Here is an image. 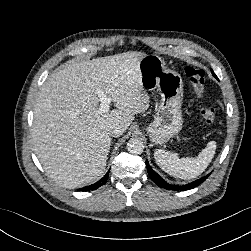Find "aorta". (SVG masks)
I'll use <instances>...</instances> for the list:
<instances>
[{
  "mask_svg": "<svg viewBox=\"0 0 251 251\" xmlns=\"http://www.w3.org/2000/svg\"><path fill=\"white\" fill-rule=\"evenodd\" d=\"M127 150L132 154H141L144 150V144L138 138H131L127 143Z\"/></svg>",
  "mask_w": 251,
  "mask_h": 251,
  "instance_id": "762f6f07",
  "label": "aorta"
}]
</instances>
